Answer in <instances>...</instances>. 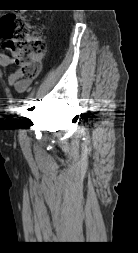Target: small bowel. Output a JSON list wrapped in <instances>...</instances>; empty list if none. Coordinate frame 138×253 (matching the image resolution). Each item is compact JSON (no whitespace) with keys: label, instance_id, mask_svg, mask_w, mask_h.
Instances as JSON below:
<instances>
[{"label":"small bowel","instance_id":"obj_1","mask_svg":"<svg viewBox=\"0 0 138 253\" xmlns=\"http://www.w3.org/2000/svg\"><path fill=\"white\" fill-rule=\"evenodd\" d=\"M14 64L12 58L5 53H0V65L9 66ZM8 83L18 92H24L32 83V79L25 77L19 68H16L8 76Z\"/></svg>","mask_w":138,"mask_h":253}]
</instances>
